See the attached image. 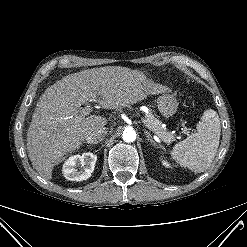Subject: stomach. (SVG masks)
<instances>
[{"mask_svg": "<svg viewBox=\"0 0 247 247\" xmlns=\"http://www.w3.org/2000/svg\"><path fill=\"white\" fill-rule=\"evenodd\" d=\"M157 106L160 113L168 118L176 113L178 102L173 95L163 94L157 99Z\"/></svg>", "mask_w": 247, "mask_h": 247, "instance_id": "0dacf381", "label": "stomach"}]
</instances>
